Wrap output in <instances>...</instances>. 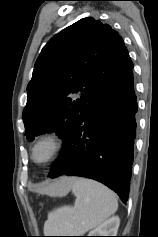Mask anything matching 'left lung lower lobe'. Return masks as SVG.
Returning a JSON list of instances; mask_svg holds the SVG:
<instances>
[{"label":"left lung lower lobe","mask_w":158,"mask_h":237,"mask_svg":"<svg viewBox=\"0 0 158 237\" xmlns=\"http://www.w3.org/2000/svg\"><path fill=\"white\" fill-rule=\"evenodd\" d=\"M136 112L131 69L101 90L82 110L48 176L95 179L126 202L132 174Z\"/></svg>","instance_id":"1"}]
</instances>
